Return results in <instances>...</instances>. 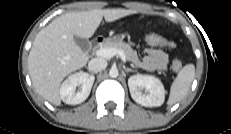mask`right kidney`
Masks as SVG:
<instances>
[{
	"instance_id": "ca27d5eb",
	"label": "right kidney",
	"mask_w": 231,
	"mask_h": 134,
	"mask_svg": "<svg viewBox=\"0 0 231 134\" xmlns=\"http://www.w3.org/2000/svg\"><path fill=\"white\" fill-rule=\"evenodd\" d=\"M95 77L84 72H77L70 75L60 86L59 94L66 104L76 105L87 99L91 92ZM81 90L76 92V87Z\"/></svg>"
}]
</instances>
